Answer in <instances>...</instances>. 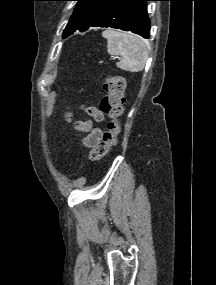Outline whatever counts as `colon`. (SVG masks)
Returning a JSON list of instances; mask_svg holds the SVG:
<instances>
[{"mask_svg":"<svg viewBox=\"0 0 216 285\" xmlns=\"http://www.w3.org/2000/svg\"><path fill=\"white\" fill-rule=\"evenodd\" d=\"M125 84V79L118 75H108L104 80L105 95L100 103V111L110 117L111 120L100 141L89 152V159L92 161L103 158L118 142V136L121 132L119 118L123 113L125 103Z\"/></svg>","mask_w":216,"mask_h":285,"instance_id":"obj_1","label":"colon"}]
</instances>
